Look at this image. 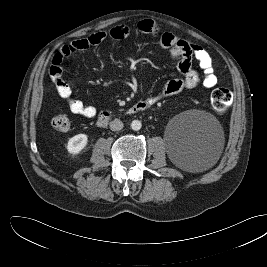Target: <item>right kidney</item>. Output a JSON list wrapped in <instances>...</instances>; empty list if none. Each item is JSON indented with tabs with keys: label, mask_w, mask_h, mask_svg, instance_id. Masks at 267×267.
I'll return each instance as SVG.
<instances>
[{
	"label": "right kidney",
	"mask_w": 267,
	"mask_h": 267,
	"mask_svg": "<svg viewBox=\"0 0 267 267\" xmlns=\"http://www.w3.org/2000/svg\"><path fill=\"white\" fill-rule=\"evenodd\" d=\"M88 137L86 134H78L70 138L66 146L67 151L71 154H78L87 144Z\"/></svg>",
	"instance_id": "ca27d5eb"
}]
</instances>
